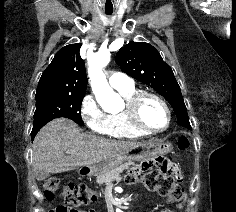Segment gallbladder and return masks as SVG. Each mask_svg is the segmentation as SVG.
Returning <instances> with one entry per match:
<instances>
[{"label":"gallbladder","instance_id":"bac80fb5","mask_svg":"<svg viewBox=\"0 0 236 212\" xmlns=\"http://www.w3.org/2000/svg\"><path fill=\"white\" fill-rule=\"evenodd\" d=\"M47 177H49V173L46 171H39L36 173V178L38 180H43L46 179Z\"/></svg>","mask_w":236,"mask_h":212}]
</instances>
